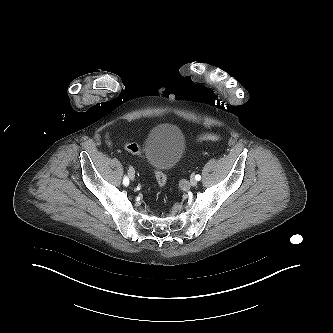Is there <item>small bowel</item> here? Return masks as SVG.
<instances>
[{
    "mask_svg": "<svg viewBox=\"0 0 333 333\" xmlns=\"http://www.w3.org/2000/svg\"><path fill=\"white\" fill-rule=\"evenodd\" d=\"M106 140H107V144H108L109 146H111V142H110V139H109L108 136L106 137Z\"/></svg>",
    "mask_w": 333,
    "mask_h": 333,
    "instance_id": "obj_1",
    "label": "small bowel"
}]
</instances>
